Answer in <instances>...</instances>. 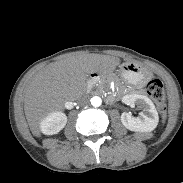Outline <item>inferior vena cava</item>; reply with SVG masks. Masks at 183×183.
<instances>
[{
    "instance_id": "1",
    "label": "inferior vena cava",
    "mask_w": 183,
    "mask_h": 183,
    "mask_svg": "<svg viewBox=\"0 0 183 183\" xmlns=\"http://www.w3.org/2000/svg\"><path fill=\"white\" fill-rule=\"evenodd\" d=\"M78 104L87 105L89 103V98L87 96H81L77 99Z\"/></svg>"
}]
</instances>
